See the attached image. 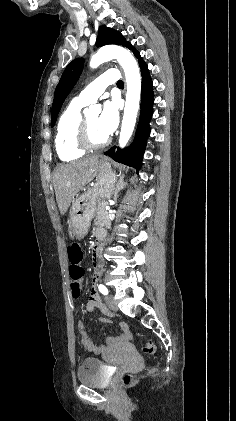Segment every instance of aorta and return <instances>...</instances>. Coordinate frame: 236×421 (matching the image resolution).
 Instances as JSON below:
<instances>
[{
	"mask_svg": "<svg viewBox=\"0 0 236 421\" xmlns=\"http://www.w3.org/2000/svg\"><path fill=\"white\" fill-rule=\"evenodd\" d=\"M117 58L120 62L126 78L127 92L124 106L122 126L119 136V146H126L135 126L136 116L140 102L141 76L139 66L131 52L123 46L107 44L92 54L89 62L91 68H97L103 62Z\"/></svg>",
	"mask_w": 236,
	"mask_h": 421,
	"instance_id": "aorta-1",
	"label": "aorta"
}]
</instances>
